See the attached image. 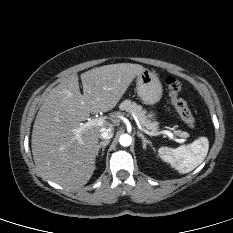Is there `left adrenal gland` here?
Masks as SVG:
<instances>
[{
	"mask_svg": "<svg viewBox=\"0 0 233 233\" xmlns=\"http://www.w3.org/2000/svg\"><path fill=\"white\" fill-rule=\"evenodd\" d=\"M137 134H138V136L142 139V142H143V149L146 150L147 145L152 146L151 142H150L149 140H147V139L145 138V136H144L142 133H140L139 131H137Z\"/></svg>",
	"mask_w": 233,
	"mask_h": 233,
	"instance_id": "1",
	"label": "left adrenal gland"
}]
</instances>
